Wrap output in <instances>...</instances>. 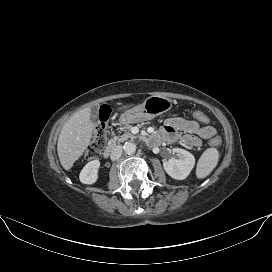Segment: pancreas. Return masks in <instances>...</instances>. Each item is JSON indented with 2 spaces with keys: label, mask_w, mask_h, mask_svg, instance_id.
I'll return each instance as SVG.
<instances>
[{
  "label": "pancreas",
  "mask_w": 272,
  "mask_h": 272,
  "mask_svg": "<svg viewBox=\"0 0 272 272\" xmlns=\"http://www.w3.org/2000/svg\"><path fill=\"white\" fill-rule=\"evenodd\" d=\"M130 128H131V126H124V127H122L121 128V130L122 131H125V133L123 134V135H119V136H113V138L110 140V142L112 143V144H115V143H120V142H123V141H125V140H127V139H134V138H136V136H134L133 134H131L130 132H129V130H130Z\"/></svg>",
  "instance_id": "pancreas-1"
}]
</instances>
